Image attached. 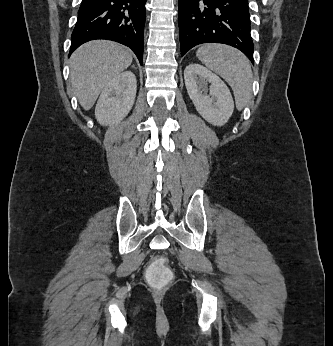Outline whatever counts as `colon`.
<instances>
[{
    "mask_svg": "<svg viewBox=\"0 0 333 346\" xmlns=\"http://www.w3.org/2000/svg\"><path fill=\"white\" fill-rule=\"evenodd\" d=\"M147 269H144L145 280L151 288H170V280H174V273L166 264L165 257H149ZM159 292L162 290L159 289Z\"/></svg>",
    "mask_w": 333,
    "mask_h": 346,
    "instance_id": "obj_1",
    "label": "colon"
}]
</instances>
